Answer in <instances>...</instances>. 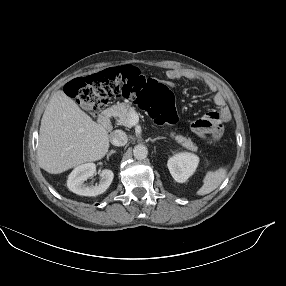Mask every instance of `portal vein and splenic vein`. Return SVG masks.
<instances>
[{"label": "portal vein and splenic vein", "instance_id": "obj_1", "mask_svg": "<svg viewBox=\"0 0 286 286\" xmlns=\"http://www.w3.org/2000/svg\"><path fill=\"white\" fill-rule=\"evenodd\" d=\"M138 122H139V116H138V114H137L136 112L132 113V114H131V119H130V124H131L132 126H134V125L138 124Z\"/></svg>", "mask_w": 286, "mask_h": 286}]
</instances>
